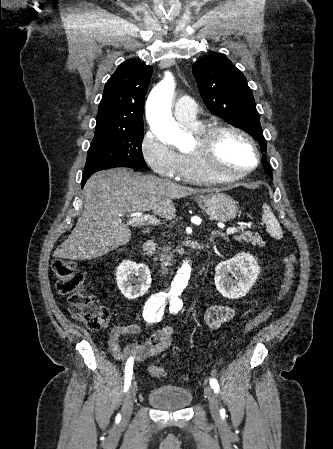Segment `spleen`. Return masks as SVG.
I'll use <instances>...</instances> for the list:
<instances>
[{
  "instance_id": "3e777b00",
  "label": "spleen",
  "mask_w": 333,
  "mask_h": 449,
  "mask_svg": "<svg viewBox=\"0 0 333 449\" xmlns=\"http://www.w3.org/2000/svg\"><path fill=\"white\" fill-rule=\"evenodd\" d=\"M262 221L266 224L267 231L276 239H281L283 236L280 224L273 214L271 208L267 205H263Z\"/></svg>"
}]
</instances>
